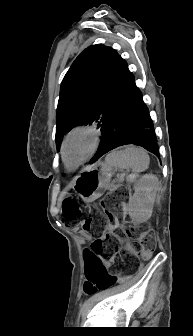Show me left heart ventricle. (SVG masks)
<instances>
[{
  "instance_id": "b2bd125f",
  "label": "left heart ventricle",
  "mask_w": 193,
  "mask_h": 336,
  "mask_svg": "<svg viewBox=\"0 0 193 336\" xmlns=\"http://www.w3.org/2000/svg\"><path fill=\"white\" fill-rule=\"evenodd\" d=\"M92 146V138L86 133H78L70 138L66 145V160L70 165H76L86 157Z\"/></svg>"
}]
</instances>
